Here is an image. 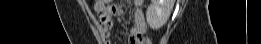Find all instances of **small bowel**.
Returning <instances> with one entry per match:
<instances>
[{"mask_svg":"<svg viewBox=\"0 0 261 44\" xmlns=\"http://www.w3.org/2000/svg\"><path fill=\"white\" fill-rule=\"evenodd\" d=\"M142 1H134V10L132 12V22L129 28V43L136 44V39L145 34L147 25L144 18V14L141 10ZM95 10L99 16V24L101 29V35L107 44L112 43L111 34L114 29L115 22L113 20L114 15H120L122 9L118 6H95Z\"/></svg>","mask_w":261,"mask_h":44,"instance_id":"1","label":"small bowel"}]
</instances>
